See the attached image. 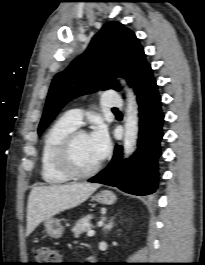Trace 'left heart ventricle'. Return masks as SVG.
Returning a JSON list of instances; mask_svg holds the SVG:
<instances>
[{
    "mask_svg": "<svg viewBox=\"0 0 205 265\" xmlns=\"http://www.w3.org/2000/svg\"><path fill=\"white\" fill-rule=\"evenodd\" d=\"M72 161L79 170H88L96 165L99 160L93 151L89 135L80 136L74 143L72 149Z\"/></svg>",
    "mask_w": 205,
    "mask_h": 265,
    "instance_id": "obj_1",
    "label": "left heart ventricle"
}]
</instances>
